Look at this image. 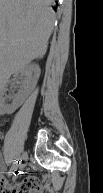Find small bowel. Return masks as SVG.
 Wrapping results in <instances>:
<instances>
[{
    "mask_svg": "<svg viewBox=\"0 0 103 193\" xmlns=\"http://www.w3.org/2000/svg\"><path fill=\"white\" fill-rule=\"evenodd\" d=\"M1 170L2 175L0 178V184L2 189H4L3 193H19L20 191L18 189L20 187H24L26 193H45L44 184L34 176L27 177L21 184L9 186L8 179L4 174L6 170V164L4 162L1 163Z\"/></svg>",
    "mask_w": 103,
    "mask_h": 193,
    "instance_id": "c3829d8e",
    "label": "small bowel"
}]
</instances>
